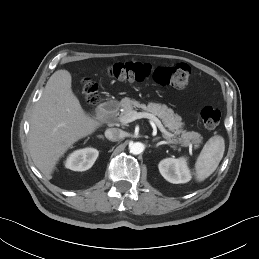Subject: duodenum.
<instances>
[{
    "label": "duodenum",
    "mask_w": 259,
    "mask_h": 259,
    "mask_svg": "<svg viewBox=\"0 0 259 259\" xmlns=\"http://www.w3.org/2000/svg\"><path fill=\"white\" fill-rule=\"evenodd\" d=\"M117 109V103L114 101L104 102L99 108V114L103 118H110Z\"/></svg>",
    "instance_id": "1"
}]
</instances>
